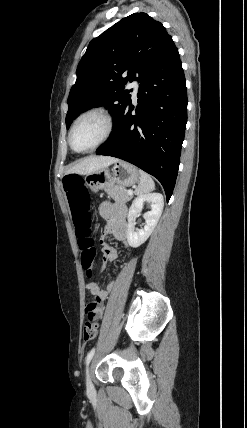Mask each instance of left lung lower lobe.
Segmentation results:
<instances>
[{
	"label": "left lung lower lobe",
	"instance_id": "1",
	"mask_svg": "<svg viewBox=\"0 0 247 428\" xmlns=\"http://www.w3.org/2000/svg\"><path fill=\"white\" fill-rule=\"evenodd\" d=\"M136 114L128 102L111 139L96 150L130 162L156 177L169 201L178 173L187 123V91L178 49L140 80Z\"/></svg>",
	"mask_w": 247,
	"mask_h": 428
}]
</instances>
